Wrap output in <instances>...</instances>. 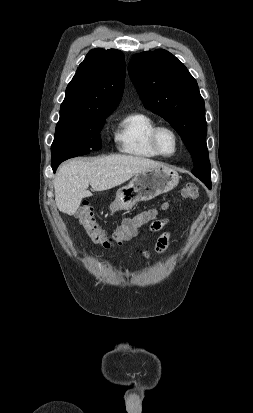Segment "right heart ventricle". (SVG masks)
I'll return each mask as SVG.
<instances>
[{
    "mask_svg": "<svg viewBox=\"0 0 253 413\" xmlns=\"http://www.w3.org/2000/svg\"><path fill=\"white\" fill-rule=\"evenodd\" d=\"M157 125L149 114L133 111L126 114L118 123L114 139L119 152L138 158L159 156L149 140L151 130Z\"/></svg>",
    "mask_w": 253,
    "mask_h": 413,
    "instance_id": "obj_1",
    "label": "right heart ventricle"
}]
</instances>
